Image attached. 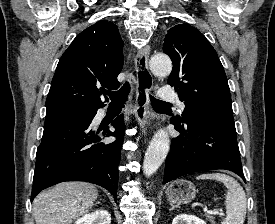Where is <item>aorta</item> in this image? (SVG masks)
<instances>
[{
  "instance_id": "1",
  "label": "aorta",
  "mask_w": 275,
  "mask_h": 224,
  "mask_svg": "<svg viewBox=\"0 0 275 224\" xmlns=\"http://www.w3.org/2000/svg\"><path fill=\"white\" fill-rule=\"evenodd\" d=\"M149 66L152 73L159 77H166L172 71L170 58L163 54L153 55ZM170 148V138L164 129L158 130L148 146L143 161V172L146 177L153 175L164 162Z\"/></svg>"
}]
</instances>
